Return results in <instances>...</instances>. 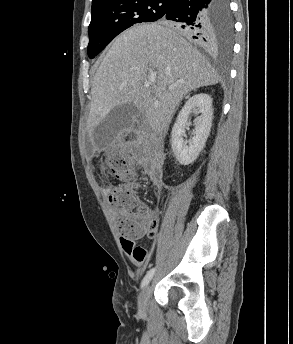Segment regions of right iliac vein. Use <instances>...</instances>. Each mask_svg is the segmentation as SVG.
<instances>
[{"mask_svg": "<svg viewBox=\"0 0 293 344\" xmlns=\"http://www.w3.org/2000/svg\"><path fill=\"white\" fill-rule=\"evenodd\" d=\"M150 292H151V287L150 285H147L141 292L138 299V312H139V315L142 317H145L147 315L148 300L150 297Z\"/></svg>", "mask_w": 293, "mask_h": 344, "instance_id": "1", "label": "right iliac vein"}]
</instances>
